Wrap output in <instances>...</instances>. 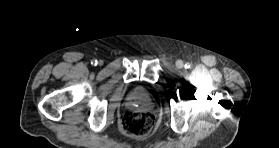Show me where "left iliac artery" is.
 Returning <instances> with one entry per match:
<instances>
[{"label": "left iliac artery", "instance_id": "obj_1", "mask_svg": "<svg viewBox=\"0 0 279 148\" xmlns=\"http://www.w3.org/2000/svg\"><path fill=\"white\" fill-rule=\"evenodd\" d=\"M191 67V64L189 63V62H187L186 64H185V68H190Z\"/></svg>", "mask_w": 279, "mask_h": 148}]
</instances>
